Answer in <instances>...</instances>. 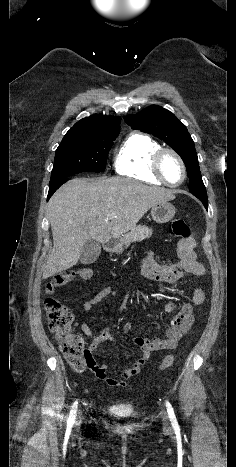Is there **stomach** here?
<instances>
[{
	"label": "stomach",
	"instance_id": "1",
	"mask_svg": "<svg viewBox=\"0 0 236 467\" xmlns=\"http://www.w3.org/2000/svg\"><path fill=\"white\" fill-rule=\"evenodd\" d=\"M175 207L169 202H160L151 208V216L157 223L169 222L175 215ZM116 253H122L123 248L120 245H115L112 249Z\"/></svg>",
	"mask_w": 236,
	"mask_h": 467
}]
</instances>
